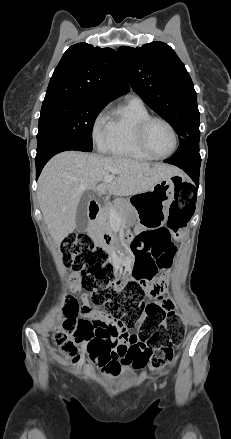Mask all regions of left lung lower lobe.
<instances>
[{
    "mask_svg": "<svg viewBox=\"0 0 231 439\" xmlns=\"http://www.w3.org/2000/svg\"><path fill=\"white\" fill-rule=\"evenodd\" d=\"M199 135L183 139L175 154L164 162L184 170L198 186L201 157L199 154Z\"/></svg>",
    "mask_w": 231,
    "mask_h": 439,
    "instance_id": "obj_1",
    "label": "left lung lower lobe"
}]
</instances>
